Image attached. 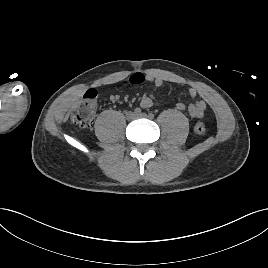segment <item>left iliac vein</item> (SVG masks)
<instances>
[{
    "label": "left iliac vein",
    "mask_w": 268,
    "mask_h": 268,
    "mask_svg": "<svg viewBox=\"0 0 268 268\" xmlns=\"http://www.w3.org/2000/svg\"><path fill=\"white\" fill-rule=\"evenodd\" d=\"M137 117H139V118H149L148 115L145 114V113H141V114L137 115Z\"/></svg>",
    "instance_id": "left-iliac-vein-1"
}]
</instances>
